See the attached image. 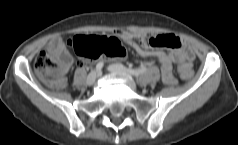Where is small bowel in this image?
Here are the masks:
<instances>
[{
    "mask_svg": "<svg viewBox=\"0 0 238 145\" xmlns=\"http://www.w3.org/2000/svg\"><path fill=\"white\" fill-rule=\"evenodd\" d=\"M115 35L132 47L140 56L157 59L161 64L162 80L166 85L172 86L176 83L173 75L174 64L181 63L191 67L190 62L194 58L191 47L186 41L181 40L173 34L153 37L149 33L134 34L123 29H118L115 31ZM50 44L55 46L52 54L61 63V72L65 74L72 66L73 58L60 38L54 39ZM155 48H166L174 51L167 53ZM79 64L82 65L83 62L81 61Z\"/></svg>",
    "mask_w": 238,
    "mask_h": 145,
    "instance_id": "obj_1",
    "label": "small bowel"
}]
</instances>
